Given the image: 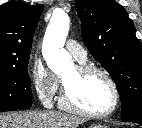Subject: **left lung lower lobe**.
<instances>
[{
  "mask_svg": "<svg viewBox=\"0 0 142 128\" xmlns=\"http://www.w3.org/2000/svg\"><path fill=\"white\" fill-rule=\"evenodd\" d=\"M133 122H135V121H133ZM135 123H138V124H141V125H142V122H135Z\"/></svg>",
  "mask_w": 142,
  "mask_h": 128,
  "instance_id": "left-lung-lower-lobe-1",
  "label": "left lung lower lobe"
}]
</instances>
